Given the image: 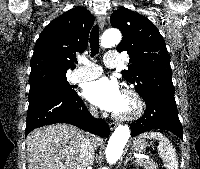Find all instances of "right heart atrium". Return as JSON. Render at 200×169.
Returning <instances> with one entry per match:
<instances>
[{"mask_svg":"<svg viewBox=\"0 0 200 169\" xmlns=\"http://www.w3.org/2000/svg\"><path fill=\"white\" fill-rule=\"evenodd\" d=\"M88 112H89V114H91V115H95V114H96V110H95V108L92 107V106H89V107H88Z\"/></svg>","mask_w":200,"mask_h":169,"instance_id":"obj_1","label":"right heart atrium"}]
</instances>
